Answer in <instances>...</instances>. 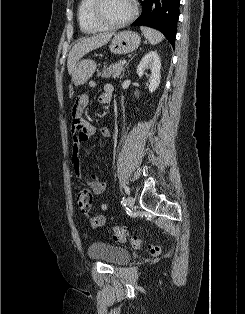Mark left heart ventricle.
Segmentation results:
<instances>
[{
    "mask_svg": "<svg viewBox=\"0 0 245 314\" xmlns=\"http://www.w3.org/2000/svg\"><path fill=\"white\" fill-rule=\"evenodd\" d=\"M132 12L131 0H103L101 15L111 23L125 20Z\"/></svg>",
    "mask_w": 245,
    "mask_h": 314,
    "instance_id": "b2bd125f",
    "label": "left heart ventricle"
}]
</instances>
